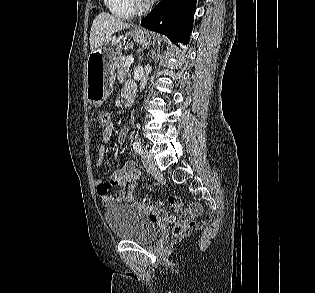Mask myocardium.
Segmentation results:
<instances>
[{"label": "myocardium", "instance_id": "obj_1", "mask_svg": "<svg viewBox=\"0 0 315 293\" xmlns=\"http://www.w3.org/2000/svg\"><path fill=\"white\" fill-rule=\"evenodd\" d=\"M128 3L135 12H143L150 6L149 1L141 2L140 0H128Z\"/></svg>", "mask_w": 315, "mask_h": 293}]
</instances>
